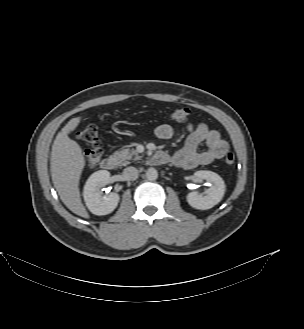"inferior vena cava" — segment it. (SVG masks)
Here are the masks:
<instances>
[{"label":"inferior vena cava","mask_w":304,"mask_h":329,"mask_svg":"<svg viewBox=\"0 0 304 329\" xmlns=\"http://www.w3.org/2000/svg\"><path fill=\"white\" fill-rule=\"evenodd\" d=\"M123 176L126 180L132 181L138 178V170L135 167H127L123 171Z\"/></svg>","instance_id":"1"}]
</instances>
